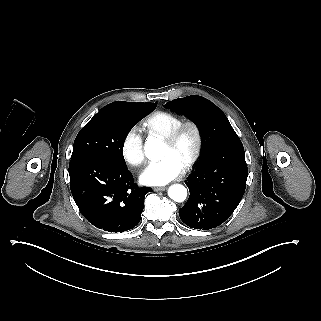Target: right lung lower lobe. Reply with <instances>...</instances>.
Returning <instances> with one entry per match:
<instances>
[{"label": "right lung lower lobe", "mask_w": 321, "mask_h": 321, "mask_svg": "<svg viewBox=\"0 0 321 321\" xmlns=\"http://www.w3.org/2000/svg\"><path fill=\"white\" fill-rule=\"evenodd\" d=\"M70 188L83 216L95 227L123 232L140 221L149 187L138 188L126 165L97 157L71 158Z\"/></svg>", "instance_id": "98d812e1"}]
</instances>
